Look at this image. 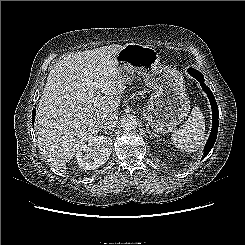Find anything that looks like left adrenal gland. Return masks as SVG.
Instances as JSON below:
<instances>
[{"instance_id": "1", "label": "left adrenal gland", "mask_w": 245, "mask_h": 245, "mask_svg": "<svg viewBox=\"0 0 245 245\" xmlns=\"http://www.w3.org/2000/svg\"><path fill=\"white\" fill-rule=\"evenodd\" d=\"M147 130H148V133L150 134V130H149V127H147Z\"/></svg>"}]
</instances>
